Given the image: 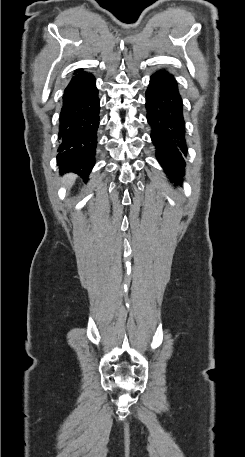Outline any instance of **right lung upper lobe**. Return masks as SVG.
Here are the masks:
<instances>
[{
    "instance_id": "obj_1",
    "label": "right lung upper lobe",
    "mask_w": 245,
    "mask_h": 457,
    "mask_svg": "<svg viewBox=\"0 0 245 457\" xmlns=\"http://www.w3.org/2000/svg\"><path fill=\"white\" fill-rule=\"evenodd\" d=\"M77 71H81V69H78ZM77 71H76V72H77Z\"/></svg>"
}]
</instances>
